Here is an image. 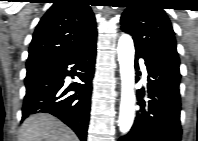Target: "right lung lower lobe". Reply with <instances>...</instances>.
<instances>
[{
  "mask_svg": "<svg viewBox=\"0 0 198 141\" xmlns=\"http://www.w3.org/2000/svg\"><path fill=\"white\" fill-rule=\"evenodd\" d=\"M96 36L68 55L27 69L22 120L34 113H50L67 124L81 141L86 140L95 70ZM76 70L81 72L77 73ZM75 74L84 83H75L65 89V77ZM70 90L75 93L69 94Z\"/></svg>",
  "mask_w": 198,
  "mask_h": 141,
  "instance_id": "1",
  "label": "right lung lower lobe"
}]
</instances>
